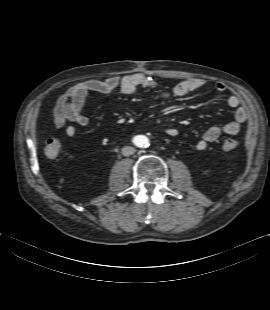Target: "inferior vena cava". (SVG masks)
Returning a JSON list of instances; mask_svg holds the SVG:
<instances>
[{
    "label": "inferior vena cava",
    "mask_w": 270,
    "mask_h": 310,
    "mask_svg": "<svg viewBox=\"0 0 270 310\" xmlns=\"http://www.w3.org/2000/svg\"><path fill=\"white\" fill-rule=\"evenodd\" d=\"M135 149L131 146H125L122 148V155L123 156H130L132 154H134Z\"/></svg>",
    "instance_id": "obj_1"
}]
</instances>
